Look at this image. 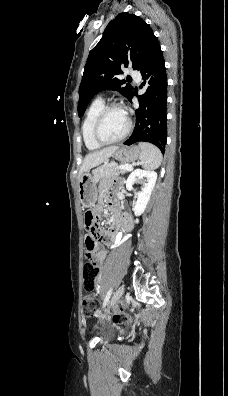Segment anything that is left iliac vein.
<instances>
[{"instance_id": "4c4485c4", "label": "left iliac vein", "mask_w": 228, "mask_h": 396, "mask_svg": "<svg viewBox=\"0 0 228 396\" xmlns=\"http://www.w3.org/2000/svg\"><path fill=\"white\" fill-rule=\"evenodd\" d=\"M125 291V286L121 285L114 293L112 299H111V303H110V307L115 306L118 301L121 299V297L123 296Z\"/></svg>"}]
</instances>
